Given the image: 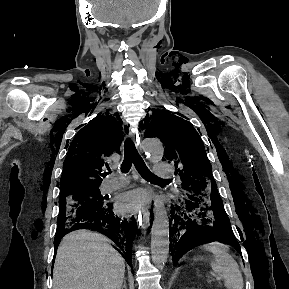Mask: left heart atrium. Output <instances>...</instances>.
<instances>
[{
    "label": "left heart atrium",
    "instance_id": "obj_1",
    "mask_svg": "<svg viewBox=\"0 0 289 289\" xmlns=\"http://www.w3.org/2000/svg\"><path fill=\"white\" fill-rule=\"evenodd\" d=\"M149 201V195L143 190H133L121 194L116 200V209L121 214H135Z\"/></svg>",
    "mask_w": 289,
    "mask_h": 289
}]
</instances>
